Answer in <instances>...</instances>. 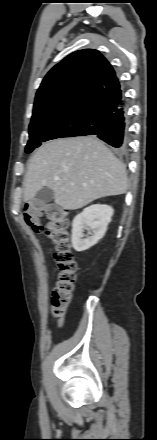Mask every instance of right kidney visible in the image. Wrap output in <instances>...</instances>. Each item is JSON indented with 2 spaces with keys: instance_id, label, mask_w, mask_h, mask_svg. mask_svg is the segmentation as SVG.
<instances>
[{
  "instance_id": "1",
  "label": "right kidney",
  "mask_w": 157,
  "mask_h": 440,
  "mask_svg": "<svg viewBox=\"0 0 157 440\" xmlns=\"http://www.w3.org/2000/svg\"><path fill=\"white\" fill-rule=\"evenodd\" d=\"M114 210L109 205H91L78 214L72 223V246L78 251H85L103 238L107 226L111 222ZM84 229L90 231V236L83 238Z\"/></svg>"
}]
</instances>
